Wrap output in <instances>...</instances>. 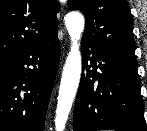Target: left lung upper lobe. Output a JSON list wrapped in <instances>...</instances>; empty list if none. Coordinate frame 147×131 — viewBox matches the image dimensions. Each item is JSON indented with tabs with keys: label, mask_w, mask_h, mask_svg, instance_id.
Segmentation results:
<instances>
[{
	"label": "left lung upper lobe",
	"mask_w": 147,
	"mask_h": 131,
	"mask_svg": "<svg viewBox=\"0 0 147 131\" xmlns=\"http://www.w3.org/2000/svg\"><path fill=\"white\" fill-rule=\"evenodd\" d=\"M85 16L83 40L137 65L133 18L127 0H68Z\"/></svg>",
	"instance_id": "5c2ea615"
}]
</instances>
